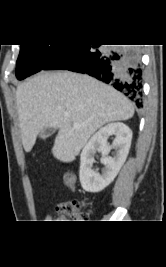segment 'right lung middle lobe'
Segmentation results:
<instances>
[{
    "instance_id": "obj_1",
    "label": "right lung middle lobe",
    "mask_w": 166,
    "mask_h": 267,
    "mask_svg": "<svg viewBox=\"0 0 166 267\" xmlns=\"http://www.w3.org/2000/svg\"><path fill=\"white\" fill-rule=\"evenodd\" d=\"M20 46V54L16 63V77L19 80L42 70L63 48V45L59 44Z\"/></svg>"
}]
</instances>
